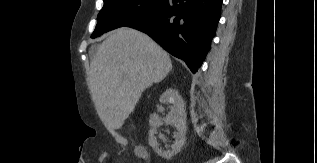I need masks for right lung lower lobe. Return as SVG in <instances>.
<instances>
[{"mask_svg": "<svg viewBox=\"0 0 317 163\" xmlns=\"http://www.w3.org/2000/svg\"><path fill=\"white\" fill-rule=\"evenodd\" d=\"M223 0H167L126 27L148 34L195 73L215 36Z\"/></svg>", "mask_w": 317, "mask_h": 163, "instance_id": "98d812e1", "label": "right lung lower lobe"}]
</instances>
